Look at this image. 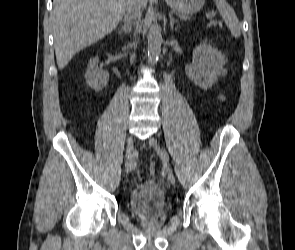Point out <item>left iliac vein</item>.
<instances>
[{
    "instance_id": "4c4485c4",
    "label": "left iliac vein",
    "mask_w": 295,
    "mask_h": 250,
    "mask_svg": "<svg viewBox=\"0 0 295 250\" xmlns=\"http://www.w3.org/2000/svg\"><path fill=\"white\" fill-rule=\"evenodd\" d=\"M148 142H149V145L161 156L164 163V169L167 172L168 180L172 185H174L176 182V179L172 170L169 168V165H168L169 156L167 152L161 149L159 142L157 141L155 137L151 136L148 139Z\"/></svg>"
}]
</instances>
